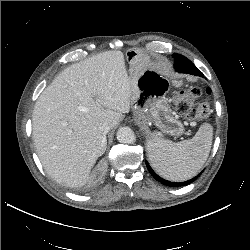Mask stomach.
<instances>
[{
	"mask_svg": "<svg viewBox=\"0 0 250 250\" xmlns=\"http://www.w3.org/2000/svg\"><path fill=\"white\" fill-rule=\"evenodd\" d=\"M126 58L130 65L131 105L135 123L146 127L153 122L164 133L181 134L183 126L171 114L165 98L168 87L166 80L158 76L155 71L144 69L149 60L142 50L138 48L129 49Z\"/></svg>",
	"mask_w": 250,
	"mask_h": 250,
	"instance_id": "0dacf381",
	"label": "stomach"
}]
</instances>
